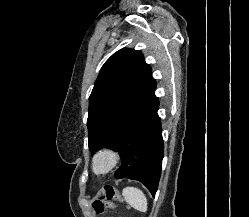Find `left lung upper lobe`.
Wrapping results in <instances>:
<instances>
[{
    "label": "left lung upper lobe",
    "mask_w": 249,
    "mask_h": 217,
    "mask_svg": "<svg viewBox=\"0 0 249 217\" xmlns=\"http://www.w3.org/2000/svg\"><path fill=\"white\" fill-rule=\"evenodd\" d=\"M155 85L151 67L140 51L123 48L105 62L89 98L92 153L102 147L117 150L122 122Z\"/></svg>",
    "instance_id": "5c2ea615"
}]
</instances>
